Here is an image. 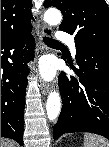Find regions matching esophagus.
<instances>
[{"label": "esophagus", "instance_id": "obj_1", "mask_svg": "<svg viewBox=\"0 0 109 147\" xmlns=\"http://www.w3.org/2000/svg\"><path fill=\"white\" fill-rule=\"evenodd\" d=\"M40 20L42 22V26H41L42 36H51L52 35V29L43 22L42 14L40 15ZM40 50L42 52L47 50L46 45L42 41V37H40ZM40 87H41V91L44 95H47L49 93L50 89H51V86L49 84L45 83V82H41Z\"/></svg>", "mask_w": 109, "mask_h": 147}]
</instances>
